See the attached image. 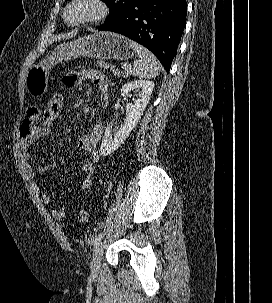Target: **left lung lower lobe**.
<instances>
[{"instance_id": "1", "label": "left lung lower lobe", "mask_w": 272, "mask_h": 303, "mask_svg": "<svg viewBox=\"0 0 272 303\" xmlns=\"http://www.w3.org/2000/svg\"><path fill=\"white\" fill-rule=\"evenodd\" d=\"M186 13V0H138L98 30L122 34L145 46L169 72L185 28Z\"/></svg>"}]
</instances>
